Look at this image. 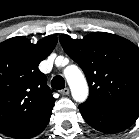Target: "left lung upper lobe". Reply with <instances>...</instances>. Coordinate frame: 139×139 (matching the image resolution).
<instances>
[{"label":"left lung upper lobe","mask_w":139,"mask_h":139,"mask_svg":"<svg viewBox=\"0 0 139 139\" xmlns=\"http://www.w3.org/2000/svg\"><path fill=\"white\" fill-rule=\"evenodd\" d=\"M59 40L87 78L90 93L82 105L104 110L139 105V48L135 44L105 32L80 40L61 35Z\"/></svg>","instance_id":"5c2ea615"}]
</instances>
